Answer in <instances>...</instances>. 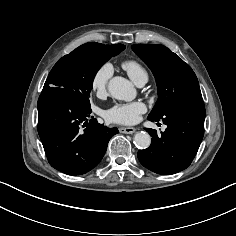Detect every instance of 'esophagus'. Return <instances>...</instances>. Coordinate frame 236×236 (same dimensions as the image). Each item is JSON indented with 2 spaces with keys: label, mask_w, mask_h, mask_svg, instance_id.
Returning <instances> with one entry per match:
<instances>
[{
  "label": "esophagus",
  "mask_w": 236,
  "mask_h": 236,
  "mask_svg": "<svg viewBox=\"0 0 236 236\" xmlns=\"http://www.w3.org/2000/svg\"><path fill=\"white\" fill-rule=\"evenodd\" d=\"M119 131L125 134H133L136 131V129L133 127H122L119 129Z\"/></svg>",
  "instance_id": "obj_1"
}]
</instances>
